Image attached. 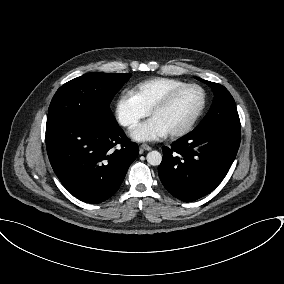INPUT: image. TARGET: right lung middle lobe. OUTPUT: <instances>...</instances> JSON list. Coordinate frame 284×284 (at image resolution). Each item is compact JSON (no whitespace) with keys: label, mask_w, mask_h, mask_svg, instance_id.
Returning <instances> with one entry per match:
<instances>
[{"label":"right lung middle lobe","mask_w":284,"mask_h":284,"mask_svg":"<svg viewBox=\"0 0 284 284\" xmlns=\"http://www.w3.org/2000/svg\"><path fill=\"white\" fill-rule=\"evenodd\" d=\"M130 74L93 72L77 77L55 93L48 110L46 134L70 124L117 123L109 104Z\"/></svg>","instance_id":"right-lung-middle-lobe-1"}]
</instances>
